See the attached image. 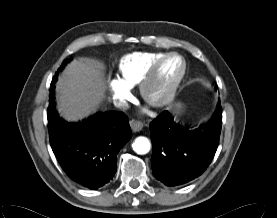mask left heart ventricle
I'll return each instance as SVG.
<instances>
[{
    "instance_id": "obj_1",
    "label": "left heart ventricle",
    "mask_w": 277,
    "mask_h": 218,
    "mask_svg": "<svg viewBox=\"0 0 277 218\" xmlns=\"http://www.w3.org/2000/svg\"><path fill=\"white\" fill-rule=\"evenodd\" d=\"M180 70V61L177 58H169L160 66L151 91L154 95L162 94L170 83L176 78Z\"/></svg>"
}]
</instances>
